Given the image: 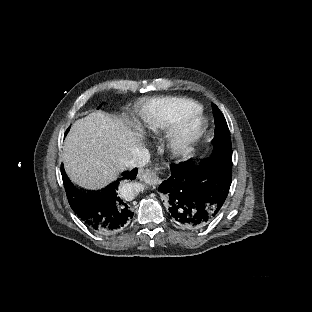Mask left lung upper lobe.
I'll return each mask as SVG.
<instances>
[{
    "mask_svg": "<svg viewBox=\"0 0 312 312\" xmlns=\"http://www.w3.org/2000/svg\"><path fill=\"white\" fill-rule=\"evenodd\" d=\"M215 117V137L212 140V154L218 152H232L230 131L226 120L219 108L212 104Z\"/></svg>",
    "mask_w": 312,
    "mask_h": 312,
    "instance_id": "5c2ea615",
    "label": "left lung upper lobe"
}]
</instances>
